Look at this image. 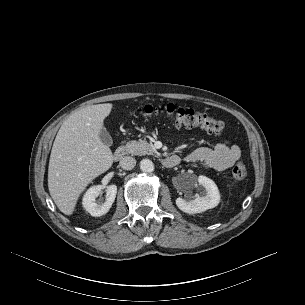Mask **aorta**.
Listing matches in <instances>:
<instances>
[{
	"label": "aorta",
	"mask_w": 305,
	"mask_h": 305,
	"mask_svg": "<svg viewBox=\"0 0 305 305\" xmlns=\"http://www.w3.org/2000/svg\"><path fill=\"white\" fill-rule=\"evenodd\" d=\"M140 169L145 173H151L154 171V164L149 159H143L140 162Z\"/></svg>",
	"instance_id": "762f6f07"
}]
</instances>
